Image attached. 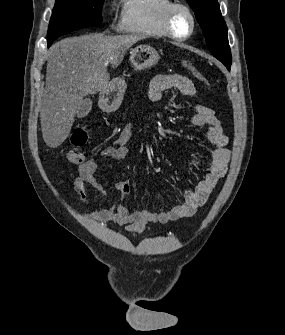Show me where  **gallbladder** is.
Listing matches in <instances>:
<instances>
[{"instance_id":"1","label":"gallbladder","mask_w":285,"mask_h":335,"mask_svg":"<svg viewBox=\"0 0 285 335\" xmlns=\"http://www.w3.org/2000/svg\"><path fill=\"white\" fill-rule=\"evenodd\" d=\"M91 108H92L91 98H85V100H82L80 106H78L77 118H84V116H87Z\"/></svg>"}]
</instances>
